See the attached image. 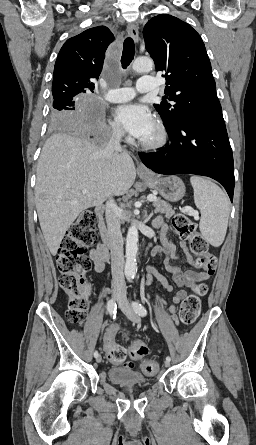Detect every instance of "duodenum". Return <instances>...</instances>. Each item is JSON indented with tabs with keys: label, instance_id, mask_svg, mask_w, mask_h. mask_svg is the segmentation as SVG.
<instances>
[{
	"label": "duodenum",
	"instance_id": "duodenum-1",
	"mask_svg": "<svg viewBox=\"0 0 256 445\" xmlns=\"http://www.w3.org/2000/svg\"><path fill=\"white\" fill-rule=\"evenodd\" d=\"M104 213H105V208L102 205H99L96 207V215H97V227H98V231L100 234V237L104 243V246L106 248H109L111 246V241H110V237L108 234V230L106 228L105 225V221H104Z\"/></svg>",
	"mask_w": 256,
	"mask_h": 445
}]
</instances>
